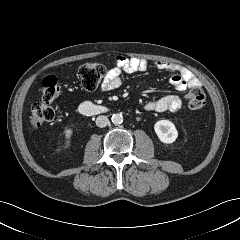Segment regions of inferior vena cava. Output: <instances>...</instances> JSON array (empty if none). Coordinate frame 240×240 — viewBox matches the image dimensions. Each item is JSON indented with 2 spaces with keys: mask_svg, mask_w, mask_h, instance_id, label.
Segmentation results:
<instances>
[{
  "mask_svg": "<svg viewBox=\"0 0 240 240\" xmlns=\"http://www.w3.org/2000/svg\"><path fill=\"white\" fill-rule=\"evenodd\" d=\"M109 124L108 117L105 115H100L96 118V125L100 128L106 127Z\"/></svg>",
  "mask_w": 240,
  "mask_h": 240,
  "instance_id": "inferior-vena-cava-1",
  "label": "inferior vena cava"
}]
</instances>
